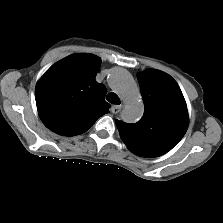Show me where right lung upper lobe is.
Returning a JSON list of instances; mask_svg holds the SVG:
<instances>
[{"mask_svg":"<svg viewBox=\"0 0 223 223\" xmlns=\"http://www.w3.org/2000/svg\"><path fill=\"white\" fill-rule=\"evenodd\" d=\"M101 65L92 54H74L51 66L36 85L39 116L51 131L74 136L109 112L107 89L95 81Z\"/></svg>","mask_w":223,"mask_h":223,"instance_id":"right-lung-upper-lobe-1","label":"right lung upper lobe"}]
</instances>
